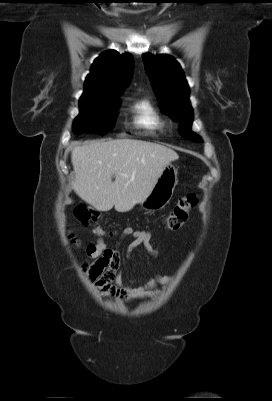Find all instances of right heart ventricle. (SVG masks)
I'll list each match as a JSON object with an SVG mask.
<instances>
[{"mask_svg":"<svg viewBox=\"0 0 272 401\" xmlns=\"http://www.w3.org/2000/svg\"><path fill=\"white\" fill-rule=\"evenodd\" d=\"M130 112L133 124L144 133L157 135L166 128V121L159 108L148 96L133 101L130 105Z\"/></svg>","mask_w":272,"mask_h":401,"instance_id":"1","label":"right heart ventricle"}]
</instances>
